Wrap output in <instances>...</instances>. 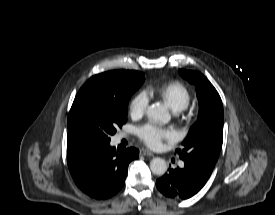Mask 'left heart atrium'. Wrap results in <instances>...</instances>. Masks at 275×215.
Wrapping results in <instances>:
<instances>
[{
  "label": "left heart atrium",
  "instance_id": "1",
  "mask_svg": "<svg viewBox=\"0 0 275 215\" xmlns=\"http://www.w3.org/2000/svg\"><path fill=\"white\" fill-rule=\"evenodd\" d=\"M137 135L149 147H159L163 140H172L174 134L169 129L147 123L137 128Z\"/></svg>",
  "mask_w": 275,
  "mask_h": 215
}]
</instances>
